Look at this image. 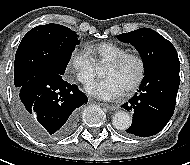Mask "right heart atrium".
<instances>
[{"label":"right heart atrium","mask_w":190,"mask_h":165,"mask_svg":"<svg viewBox=\"0 0 190 165\" xmlns=\"http://www.w3.org/2000/svg\"><path fill=\"white\" fill-rule=\"evenodd\" d=\"M68 69L83 85H88L95 77V61L86 48L75 49L71 52Z\"/></svg>","instance_id":"1"}]
</instances>
